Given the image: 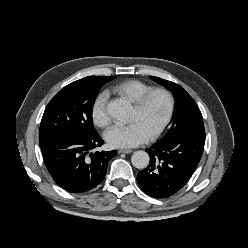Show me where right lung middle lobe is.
Returning <instances> with one entry per match:
<instances>
[{
    "label": "right lung middle lobe",
    "instance_id": "obj_1",
    "mask_svg": "<svg viewBox=\"0 0 248 248\" xmlns=\"http://www.w3.org/2000/svg\"><path fill=\"white\" fill-rule=\"evenodd\" d=\"M104 82L80 79L60 90L47 105L39 129L40 147L66 134H96L92 109Z\"/></svg>",
    "mask_w": 248,
    "mask_h": 248
}]
</instances>
